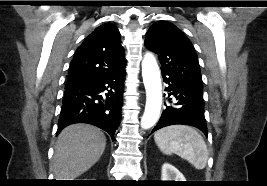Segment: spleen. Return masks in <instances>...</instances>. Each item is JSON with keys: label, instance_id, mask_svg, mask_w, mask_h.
Segmentation results:
<instances>
[{"label": "spleen", "instance_id": "3e777b00", "mask_svg": "<svg viewBox=\"0 0 267 186\" xmlns=\"http://www.w3.org/2000/svg\"><path fill=\"white\" fill-rule=\"evenodd\" d=\"M154 140L166 155L177 154L196 169H203L208 160V150L203 137L196 129L185 125H172L158 130Z\"/></svg>", "mask_w": 267, "mask_h": 186}]
</instances>
